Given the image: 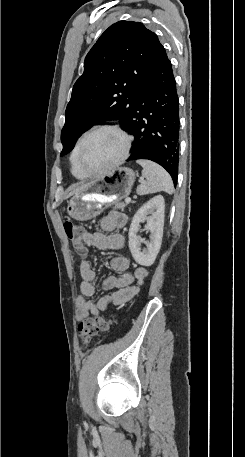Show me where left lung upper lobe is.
I'll return each mask as SVG.
<instances>
[{
  "mask_svg": "<svg viewBox=\"0 0 245 457\" xmlns=\"http://www.w3.org/2000/svg\"><path fill=\"white\" fill-rule=\"evenodd\" d=\"M160 45L157 35L140 22L119 21L100 36L73 86L60 156L70 152L79 136L94 124L119 119L123 127L129 122Z\"/></svg>",
  "mask_w": 245,
  "mask_h": 457,
  "instance_id": "5c2ea615",
  "label": "left lung upper lobe"
}]
</instances>
